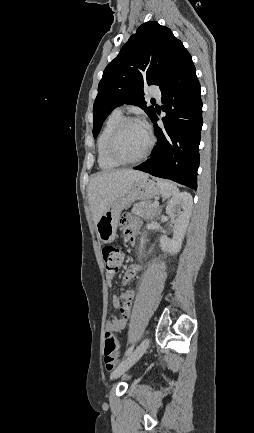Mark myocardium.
I'll use <instances>...</instances> for the list:
<instances>
[{
    "label": "myocardium",
    "instance_id": "obj_1",
    "mask_svg": "<svg viewBox=\"0 0 254 433\" xmlns=\"http://www.w3.org/2000/svg\"><path fill=\"white\" fill-rule=\"evenodd\" d=\"M129 123H140L141 124V122L137 118L124 117L115 126V128L113 129V131L111 132V134L108 138L107 147H106L107 155L113 162H115L118 165H129V164H135V163L142 161L143 159H145L147 157V155L149 154V152L152 149L153 144H154V138H153L152 134L146 129V132L148 135V143H147L145 149L143 150V152L138 157H136L134 159H123L122 157H120L116 152V148H115L116 141H117L118 135L120 134L121 130Z\"/></svg>",
    "mask_w": 254,
    "mask_h": 433
}]
</instances>
